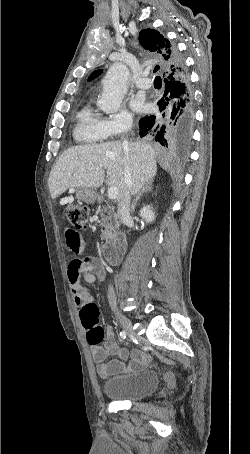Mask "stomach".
Segmentation results:
<instances>
[{
  "mask_svg": "<svg viewBox=\"0 0 250 454\" xmlns=\"http://www.w3.org/2000/svg\"><path fill=\"white\" fill-rule=\"evenodd\" d=\"M77 198L86 203H94L97 199V193L91 188H78Z\"/></svg>",
  "mask_w": 250,
  "mask_h": 454,
  "instance_id": "0dacf381",
  "label": "stomach"
}]
</instances>
